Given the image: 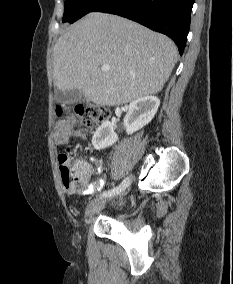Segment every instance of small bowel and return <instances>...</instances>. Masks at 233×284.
Masks as SVG:
<instances>
[{
  "label": "small bowel",
  "mask_w": 233,
  "mask_h": 284,
  "mask_svg": "<svg viewBox=\"0 0 233 284\" xmlns=\"http://www.w3.org/2000/svg\"><path fill=\"white\" fill-rule=\"evenodd\" d=\"M70 133L71 128L68 125L60 124L58 126L57 137L59 139L65 138ZM74 134L78 137H84V134L81 131H76ZM76 163L88 177H91L93 175L97 176V179L92 184H90L85 190L81 191V193L91 194L101 190L104 186L101 162L96 158L87 159L84 157H80L76 159Z\"/></svg>",
  "instance_id": "c3829d8e"
}]
</instances>
